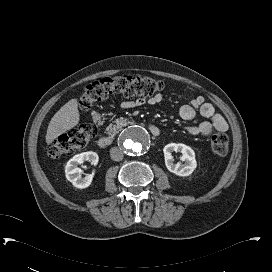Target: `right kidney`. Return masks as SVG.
Segmentation results:
<instances>
[{"mask_svg": "<svg viewBox=\"0 0 272 272\" xmlns=\"http://www.w3.org/2000/svg\"><path fill=\"white\" fill-rule=\"evenodd\" d=\"M98 160L99 157L97 153L92 151L83 152L73 156L65 166V176L67 180L70 181L76 188H87L91 184L94 174L92 173L82 178L81 169L78 168V165L82 164L85 161H89L91 162V164L96 165L98 163Z\"/></svg>", "mask_w": 272, "mask_h": 272, "instance_id": "right-kidney-1", "label": "right kidney"}]
</instances>
